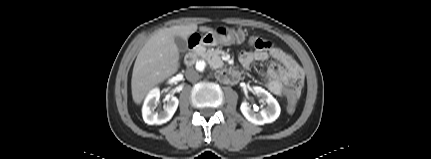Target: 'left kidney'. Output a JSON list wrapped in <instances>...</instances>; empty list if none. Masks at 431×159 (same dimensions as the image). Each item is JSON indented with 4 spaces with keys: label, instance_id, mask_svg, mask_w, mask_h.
Instances as JSON below:
<instances>
[{
    "label": "left kidney",
    "instance_id": "5707ae66",
    "mask_svg": "<svg viewBox=\"0 0 431 159\" xmlns=\"http://www.w3.org/2000/svg\"><path fill=\"white\" fill-rule=\"evenodd\" d=\"M254 91L260 98L262 103H267V107L260 112H255L249 106V103L242 102L240 110L244 117L251 123L256 125H263L275 121L280 115V106L277 100L265 89L255 86Z\"/></svg>",
    "mask_w": 431,
    "mask_h": 159
}]
</instances>
